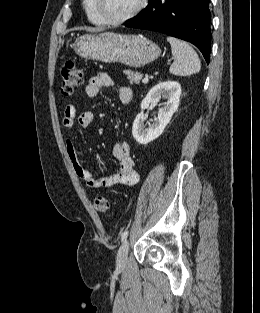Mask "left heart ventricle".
Listing matches in <instances>:
<instances>
[{"label": "left heart ventricle", "instance_id": "left-heart-ventricle-1", "mask_svg": "<svg viewBox=\"0 0 260 313\" xmlns=\"http://www.w3.org/2000/svg\"><path fill=\"white\" fill-rule=\"evenodd\" d=\"M104 14L110 18H119L129 13L137 0H100Z\"/></svg>", "mask_w": 260, "mask_h": 313}]
</instances>
